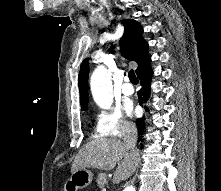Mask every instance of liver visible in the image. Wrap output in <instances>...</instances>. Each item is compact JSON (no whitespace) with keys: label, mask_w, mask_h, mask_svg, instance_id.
I'll use <instances>...</instances> for the list:
<instances>
[{"label":"liver","mask_w":221,"mask_h":191,"mask_svg":"<svg viewBox=\"0 0 221 191\" xmlns=\"http://www.w3.org/2000/svg\"><path fill=\"white\" fill-rule=\"evenodd\" d=\"M113 182L119 183L129 178L136 169L138 158L132 156L126 144L117 139H97L87 143L78 152L71 167V173L83 168L112 170Z\"/></svg>","instance_id":"obj_1"}]
</instances>
